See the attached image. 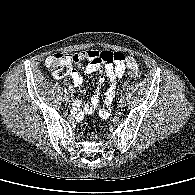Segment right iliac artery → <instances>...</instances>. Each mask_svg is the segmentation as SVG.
Wrapping results in <instances>:
<instances>
[{
	"label": "right iliac artery",
	"instance_id": "82829eb1",
	"mask_svg": "<svg viewBox=\"0 0 195 195\" xmlns=\"http://www.w3.org/2000/svg\"><path fill=\"white\" fill-rule=\"evenodd\" d=\"M64 92H65V93H67V92H68V90L65 88V89H64Z\"/></svg>",
	"mask_w": 195,
	"mask_h": 195
}]
</instances>
